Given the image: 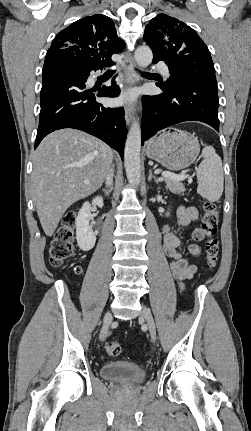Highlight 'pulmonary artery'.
Returning <instances> with one entry per match:
<instances>
[{
    "label": "pulmonary artery",
    "mask_w": 251,
    "mask_h": 431,
    "mask_svg": "<svg viewBox=\"0 0 251 431\" xmlns=\"http://www.w3.org/2000/svg\"><path fill=\"white\" fill-rule=\"evenodd\" d=\"M153 68L155 70L159 71L160 73H162L166 77L170 76L169 68L167 67V65H165L163 63H158Z\"/></svg>",
    "instance_id": "obj_1"
}]
</instances>
